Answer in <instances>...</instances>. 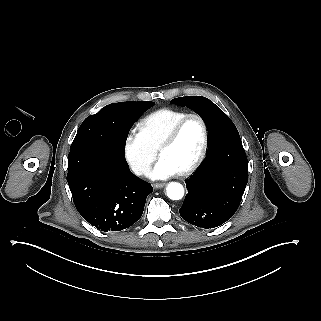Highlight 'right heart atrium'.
Returning a JSON list of instances; mask_svg holds the SVG:
<instances>
[{
  "mask_svg": "<svg viewBox=\"0 0 321 321\" xmlns=\"http://www.w3.org/2000/svg\"><path fill=\"white\" fill-rule=\"evenodd\" d=\"M124 158L136 176L148 174L154 160L152 144L138 128H132L125 136L123 143Z\"/></svg>",
  "mask_w": 321,
  "mask_h": 321,
  "instance_id": "right-heart-atrium-1",
  "label": "right heart atrium"
}]
</instances>
